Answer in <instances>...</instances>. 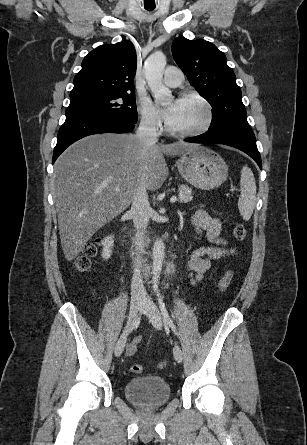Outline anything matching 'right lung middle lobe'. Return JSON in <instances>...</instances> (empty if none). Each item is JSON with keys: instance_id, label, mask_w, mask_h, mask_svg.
Here are the masks:
<instances>
[{"instance_id": "dd1d6c3e", "label": "right lung middle lobe", "mask_w": 307, "mask_h": 445, "mask_svg": "<svg viewBox=\"0 0 307 445\" xmlns=\"http://www.w3.org/2000/svg\"><path fill=\"white\" fill-rule=\"evenodd\" d=\"M109 114L129 120H137L134 93L111 95H87L70 98L66 117L76 114Z\"/></svg>"}]
</instances>
